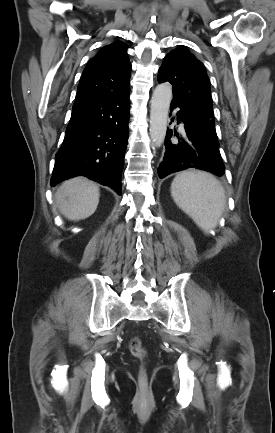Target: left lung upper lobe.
Here are the masks:
<instances>
[{
  "label": "left lung upper lobe",
  "mask_w": 275,
  "mask_h": 433,
  "mask_svg": "<svg viewBox=\"0 0 275 433\" xmlns=\"http://www.w3.org/2000/svg\"><path fill=\"white\" fill-rule=\"evenodd\" d=\"M169 81L173 96L179 98L193 121L216 138L209 78L204 65L185 47H178L164 58L158 71V82Z\"/></svg>",
  "instance_id": "5c2ea615"
}]
</instances>
